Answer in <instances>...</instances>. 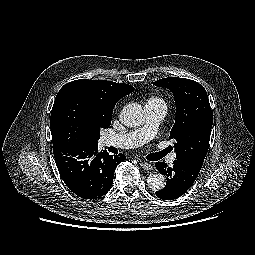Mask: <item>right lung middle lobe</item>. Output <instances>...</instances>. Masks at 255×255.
Returning <instances> with one entry per match:
<instances>
[{
  "label": "right lung middle lobe",
  "instance_id": "obj_1",
  "mask_svg": "<svg viewBox=\"0 0 255 255\" xmlns=\"http://www.w3.org/2000/svg\"><path fill=\"white\" fill-rule=\"evenodd\" d=\"M52 142L66 146H97L103 125L94 113L89 101L80 94H71L63 98L52 109Z\"/></svg>",
  "mask_w": 255,
  "mask_h": 255
}]
</instances>
